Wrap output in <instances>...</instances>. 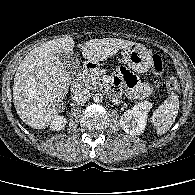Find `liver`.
<instances>
[{"mask_svg": "<svg viewBox=\"0 0 195 195\" xmlns=\"http://www.w3.org/2000/svg\"><path fill=\"white\" fill-rule=\"evenodd\" d=\"M132 44L128 40L103 38L85 41L78 47L85 59L98 63ZM74 46L71 37L47 41L32 49L18 66L13 102L18 116L28 126L44 129L58 117L70 85L59 54L72 52Z\"/></svg>", "mask_w": 195, "mask_h": 195, "instance_id": "1", "label": "liver"}]
</instances>
